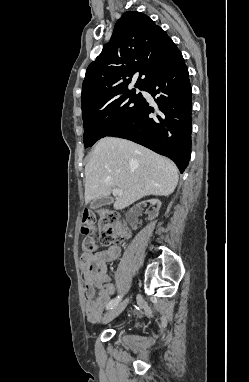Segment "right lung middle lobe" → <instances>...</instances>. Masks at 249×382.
I'll use <instances>...</instances> for the list:
<instances>
[{
    "label": "right lung middle lobe",
    "mask_w": 249,
    "mask_h": 382,
    "mask_svg": "<svg viewBox=\"0 0 249 382\" xmlns=\"http://www.w3.org/2000/svg\"><path fill=\"white\" fill-rule=\"evenodd\" d=\"M142 101V94L132 89L115 99L95 101L82 108L85 148L128 123Z\"/></svg>",
    "instance_id": "obj_1"
}]
</instances>
